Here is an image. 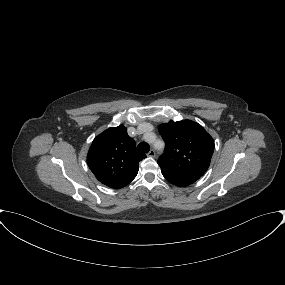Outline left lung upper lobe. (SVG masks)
Returning a JSON list of instances; mask_svg holds the SVG:
<instances>
[{"mask_svg":"<svg viewBox=\"0 0 285 285\" xmlns=\"http://www.w3.org/2000/svg\"><path fill=\"white\" fill-rule=\"evenodd\" d=\"M159 132L166 148L158 159L162 171L181 176L201 177L208 169L214 141L205 129L190 120L161 124Z\"/></svg>","mask_w":285,"mask_h":285,"instance_id":"obj_1","label":"left lung upper lobe"}]
</instances>
